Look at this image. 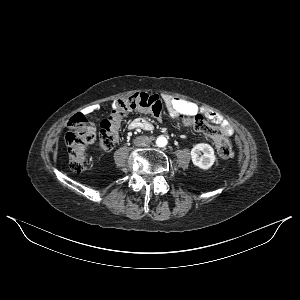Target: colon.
Here are the masks:
<instances>
[{
  "mask_svg": "<svg viewBox=\"0 0 300 300\" xmlns=\"http://www.w3.org/2000/svg\"><path fill=\"white\" fill-rule=\"evenodd\" d=\"M134 111L150 114L157 119H162L164 116V106L160 98L145 92L135 93L115 101L111 115L101 123L98 134L94 126L82 115L73 116L68 121L70 131L65 137L71 170L81 172L85 169L86 148L97 137L101 148L112 149L118 141L122 121ZM180 122L212 138L221 158L228 159L232 156L233 149L230 141L220 128L210 124L202 115L183 116Z\"/></svg>",
  "mask_w": 300,
  "mask_h": 300,
  "instance_id": "obj_1",
  "label": "colon"
}]
</instances>
